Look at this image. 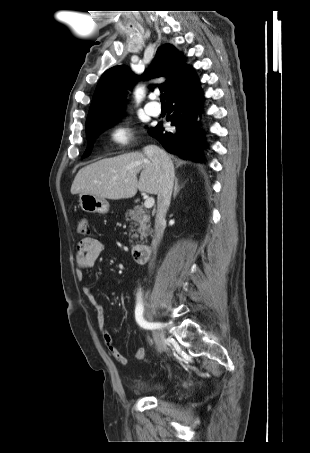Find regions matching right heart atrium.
Returning <instances> with one entry per match:
<instances>
[{"mask_svg":"<svg viewBox=\"0 0 310 453\" xmlns=\"http://www.w3.org/2000/svg\"><path fill=\"white\" fill-rule=\"evenodd\" d=\"M110 141L118 147H125L132 141V131L126 125H120L110 132Z\"/></svg>","mask_w":310,"mask_h":453,"instance_id":"obj_1","label":"right heart atrium"}]
</instances>
